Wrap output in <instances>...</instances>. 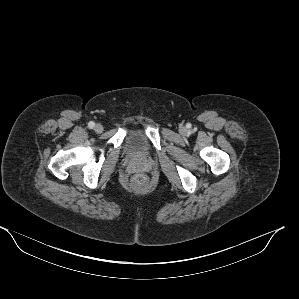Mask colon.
I'll use <instances>...</instances> for the list:
<instances>
[{
	"label": "colon",
	"mask_w": 299,
	"mask_h": 299,
	"mask_svg": "<svg viewBox=\"0 0 299 299\" xmlns=\"http://www.w3.org/2000/svg\"><path fill=\"white\" fill-rule=\"evenodd\" d=\"M132 183L137 188H145L148 184V179L143 174H137L133 180Z\"/></svg>",
	"instance_id": "1"
}]
</instances>
